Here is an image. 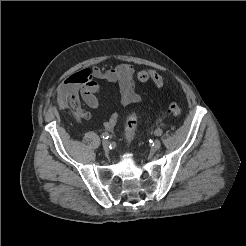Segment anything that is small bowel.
Instances as JSON below:
<instances>
[{"instance_id": "obj_1", "label": "small bowel", "mask_w": 246, "mask_h": 246, "mask_svg": "<svg viewBox=\"0 0 246 246\" xmlns=\"http://www.w3.org/2000/svg\"><path fill=\"white\" fill-rule=\"evenodd\" d=\"M134 67L130 64H119L113 68L92 67L82 69L68 77L58 90L57 101L60 109H70L78 120L90 119V114L82 107L83 101L88 107H100L97 94L100 86L96 79H104L115 84L119 92L120 103L124 106L141 102V96L134 90ZM118 114L112 113L104 122V128L112 131L117 123Z\"/></svg>"}]
</instances>
